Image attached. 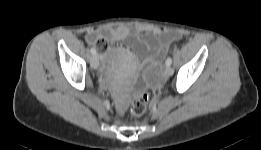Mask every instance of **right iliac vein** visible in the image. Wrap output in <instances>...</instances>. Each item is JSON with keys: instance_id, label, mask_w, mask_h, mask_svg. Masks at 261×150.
<instances>
[{"instance_id": "63e3f726", "label": "right iliac vein", "mask_w": 261, "mask_h": 150, "mask_svg": "<svg viewBox=\"0 0 261 150\" xmlns=\"http://www.w3.org/2000/svg\"><path fill=\"white\" fill-rule=\"evenodd\" d=\"M90 65L93 69H97L99 67V60L97 55H93L90 60Z\"/></svg>"}]
</instances>
